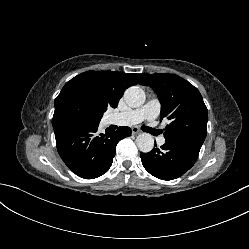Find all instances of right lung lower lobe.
<instances>
[{"instance_id":"98d812e1","label":"right lung lower lobe","mask_w":249,"mask_h":249,"mask_svg":"<svg viewBox=\"0 0 249 249\" xmlns=\"http://www.w3.org/2000/svg\"><path fill=\"white\" fill-rule=\"evenodd\" d=\"M52 125L62 160L85 179L106 173L112 165L117 143L131 135V129L125 126L98 134V124L88 125L66 118L52 119Z\"/></svg>"}]
</instances>
